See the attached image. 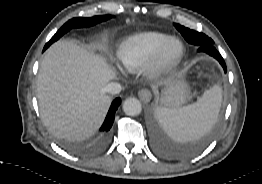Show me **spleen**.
Segmentation results:
<instances>
[{"label": "spleen", "mask_w": 262, "mask_h": 184, "mask_svg": "<svg viewBox=\"0 0 262 184\" xmlns=\"http://www.w3.org/2000/svg\"><path fill=\"white\" fill-rule=\"evenodd\" d=\"M222 89L215 85L193 104L182 108H157V117L170 137L177 141L199 138L216 123L221 106Z\"/></svg>", "instance_id": "spleen-1"}]
</instances>
